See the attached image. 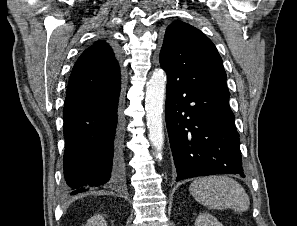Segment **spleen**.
I'll return each mask as SVG.
<instances>
[{
  "instance_id": "1",
  "label": "spleen",
  "mask_w": 297,
  "mask_h": 226,
  "mask_svg": "<svg viewBox=\"0 0 297 226\" xmlns=\"http://www.w3.org/2000/svg\"><path fill=\"white\" fill-rule=\"evenodd\" d=\"M189 191L197 202L210 209L230 208L243 212L250 206V199L244 188L228 176L197 178L191 183Z\"/></svg>"
}]
</instances>
